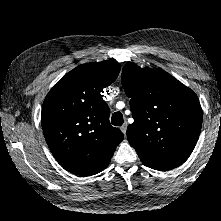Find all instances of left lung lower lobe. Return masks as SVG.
Instances as JSON below:
<instances>
[{"label":"left lung lower lobe","instance_id":"1","mask_svg":"<svg viewBox=\"0 0 221 221\" xmlns=\"http://www.w3.org/2000/svg\"><path fill=\"white\" fill-rule=\"evenodd\" d=\"M145 166H148L152 169H155V170H159V171H168V170H171L172 168L171 167H168L166 165H163V164H159V163H155V162H142Z\"/></svg>","mask_w":221,"mask_h":221}]
</instances>
